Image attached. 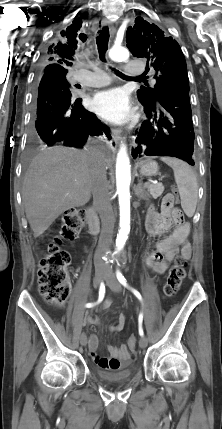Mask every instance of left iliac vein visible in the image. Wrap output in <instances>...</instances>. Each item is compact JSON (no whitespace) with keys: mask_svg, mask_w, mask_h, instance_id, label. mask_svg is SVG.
Returning <instances> with one entry per match:
<instances>
[{"mask_svg":"<svg viewBox=\"0 0 222 429\" xmlns=\"http://www.w3.org/2000/svg\"><path fill=\"white\" fill-rule=\"evenodd\" d=\"M105 281L108 287L114 291V292H120L121 291V285L116 279L112 269L110 267L107 268V271L105 273ZM148 340L145 336H141L139 339V346L141 348H145L147 346Z\"/></svg>","mask_w":222,"mask_h":429,"instance_id":"left-iliac-vein-1","label":"left iliac vein"}]
</instances>
